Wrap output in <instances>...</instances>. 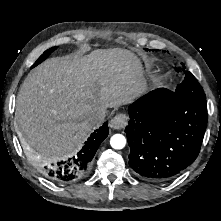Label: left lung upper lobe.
<instances>
[{"mask_svg": "<svg viewBox=\"0 0 221 221\" xmlns=\"http://www.w3.org/2000/svg\"><path fill=\"white\" fill-rule=\"evenodd\" d=\"M175 91L182 96L203 100L206 99L202 87L191 72H187L183 82L177 86Z\"/></svg>", "mask_w": 221, "mask_h": 221, "instance_id": "1", "label": "left lung upper lobe"}]
</instances>
